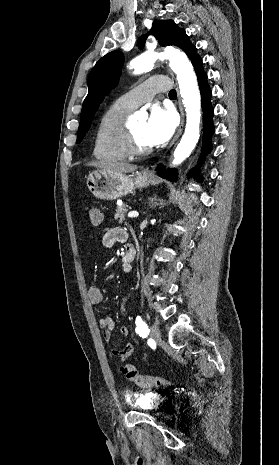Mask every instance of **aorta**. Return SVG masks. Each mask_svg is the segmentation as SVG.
<instances>
[{
    "instance_id": "762f6f07",
    "label": "aorta",
    "mask_w": 279,
    "mask_h": 465,
    "mask_svg": "<svg viewBox=\"0 0 279 465\" xmlns=\"http://www.w3.org/2000/svg\"><path fill=\"white\" fill-rule=\"evenodd\" d=\"M157 58L169 59L170 68L177 75L180 94L186 111L185 132L174 151L173 164L178 165L189 157L200 137V93L192 64L179 50L169 49L161 54L141 55L131 61L130 68L134 70L135 74L143 73L153 65Z\"/></svg>"
}]
</instances>
